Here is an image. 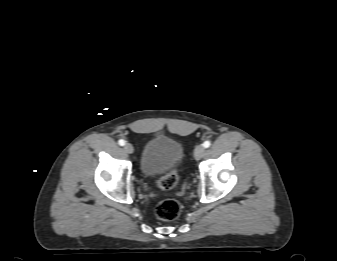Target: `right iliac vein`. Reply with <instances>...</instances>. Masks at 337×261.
Here are the masks:
<instances>
[{"label":"right iliac vein","instance_id":"right-iliac-vein-1","mask_svg":"<svg viewBox=\"0 0 337 261\" xmlns=\"http://www.w3.org/2000/svg\"><path fill=\"white\" fill-rule=\"evenodd\" d=\"M124 151H125L126 153H128V154H132L133 151H134V148H133V146H132L130 143H126V144L124 145Z\"/></svg>","mask_w":337,"mask_h":261}]
</instances>
